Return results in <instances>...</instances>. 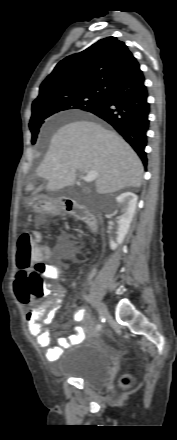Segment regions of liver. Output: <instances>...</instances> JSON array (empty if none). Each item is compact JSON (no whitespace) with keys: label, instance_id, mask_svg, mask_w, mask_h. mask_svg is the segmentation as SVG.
<instances>
[{"label":"liver","instance_id":"obj_1","mask_svg":"<svg viewBox=\"0 0 177 440\" xmlns=\"http://www.w3.org/2000/svg\"><path fill=\"white\" fill-rule=\"evenodd\" d=\"M96 171L98 194L140 187L143 165L137 154L117 133L91 121H76L59 128L37 175L48 181L47 191L75 184L77 172ZM26 191H33L29 182Z\"/></svg>","mask_w":177,"mask_h":440}]
</instances>
